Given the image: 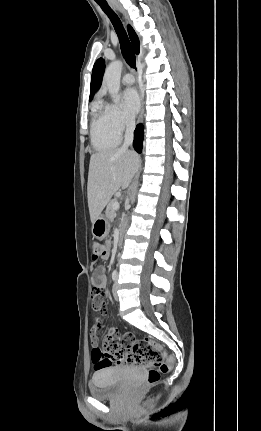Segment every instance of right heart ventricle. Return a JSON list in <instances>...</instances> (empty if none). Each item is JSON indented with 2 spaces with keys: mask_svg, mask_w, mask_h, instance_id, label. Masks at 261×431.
<instances>
[{
  "mask_svg": "<svg viewBox=\"0 0 261 431\" xmlns=\"http://www.w3.org/2000/svg\"><path fill=\"white\" fill-rule=\"evenodd\" d=\"M91 140L98 151L112 150L120 143V135L111 129L105 110L98 103L92 109Z\"/></svg>",
  "mask_w": 261,
  "mask_h": 431,
  "instance_id": "1",
  "label": "right heart ventricle"
}]
</instances>
